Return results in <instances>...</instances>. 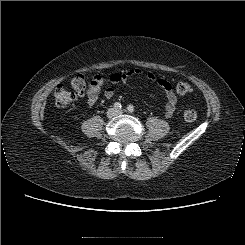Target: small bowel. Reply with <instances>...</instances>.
<instances>
[{
	"label": "small bowel",
	"mask_w": 245,
	"mask_h": 245,
	"mask_svg": "<svg viewBox=\"0 0 245 245\" xmlns=\"http://www.w3.org/2000/svg\"><path fill=\"white\" fill-rule=\"evenodd\" d=\"M141 73L142 71L139 68H134L123 72H115L111 74L108 79H104L100 76L94 77L91 88L86 93L88 106L93 107L95 105L101 94L102 87H104L105 85H107V87L103 90V96L107 99H110L114 95V86L126 81L132 76L140 75ZM146 76L151 81L156 80V77L152 72H148ZM156 81L159 88H161L165 92V117L170 118L176 110L177 96L174 93L169 81L164 78H159Z\"/></svg>",
	"instance_id": "c3829d8e"
}]
</instances>
